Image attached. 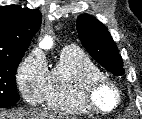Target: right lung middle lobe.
Listing matches in <instances>:
<instances>
[{
    "label": "right lung middle lobe",
    "mask_w": 142,
    "mask_h": 119,
    "mask_svg": "<svg viewBox=\"0 0 142 119\" xmlns=\"http://www.w3.org/2000/svg\"><path fill=\"white\" fill-rule=\"evenodd\" d=\"M23 55L0 59V108L19 101L16 87V70Z\"/></svg>",
    "instance_id": "right-lung-middle-lobe-1"
}]
</instances>
